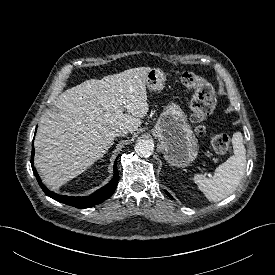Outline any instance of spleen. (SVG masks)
Listing matches in <instances>:
<instances>
[{"instance_id": "3e777b00", "label": "spleen", "mask_w": 275, "mask_h": 275, "mask_svg": "<svg viewBox=\"0 0 275 275\" xmlns=\"http://www.w3.org/2000/svg\"><path fill=\"white\" fill-rule=\"evenodd\" d=\"M232 145L234 155L216 168L212 178L199 174L193 177L194 182L209 201L219 202L228 197L236 190L244 176L246 149L241 132L233 134Z\"/></svg>"}]
</instances>
